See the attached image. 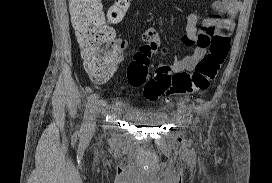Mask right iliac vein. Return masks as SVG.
Returning a JSON list of instances; mask_svg holds the SVG:
<instances>
[{"instance_id":"63e3f726","label":"right iliac vein","mask_w":272,"mask_h":183,"mask_svg":"<svg viewBox=\"0 0 272 183\" xmlns=\"http://www.w3.org/2000/svg\"><path fill=\"white\" fill-rule=\"evenodd\" d=\"M100 105H101V100H98L92 110L91 119L87 128L88 135L92 134L95 130V125H96V120L99 114Z\"/></svg>"}]
</instances>
